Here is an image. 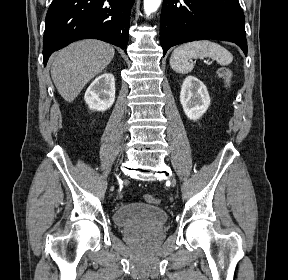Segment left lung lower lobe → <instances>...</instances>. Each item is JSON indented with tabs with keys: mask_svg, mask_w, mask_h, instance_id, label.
Instances as JSON below:
<instances>
[{
	"mask_svg": "<svg viewBox=\"0 0 288 280\" xmlns=\"http://www.w3.org/2000/svg\"><path fill=\"white\" fill-rule=\"evenodd\" d=\"M244 18L238 0H164L160 17L163 56L172 46L203 39L236 43L247 55Z\"/></svg>",
	"mask_w": 288,
	"mask_h": 280,
	"instance_id": "1",
	"label": "left lung lower lobe"
}]
</instances>
